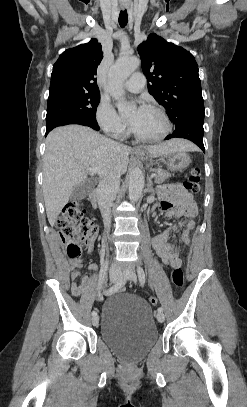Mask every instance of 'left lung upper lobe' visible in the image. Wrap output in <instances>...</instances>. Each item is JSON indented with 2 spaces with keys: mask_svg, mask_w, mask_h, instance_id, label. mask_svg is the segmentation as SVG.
<instances>
[{
  "mask_svg": "<svg viewBox=\"0 0 247 407\" xmlns=\"http://www.w3.org/2000/svg\"><path fill=\"white\" fill-rule=\"evenodd\" d=\"M149 93L167 110L174 124L193 116H205L201 83L195 58L156 34L138 46Z\"/></svg>",
  "mask_w": 247,
  "mask_h": 407,
  "instance_id": "obj_1",
  "label": "left lung upper lobe"
}]
</instances>
